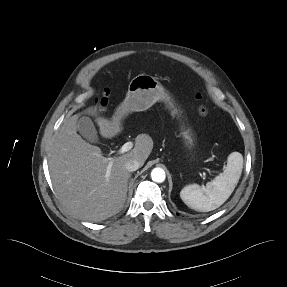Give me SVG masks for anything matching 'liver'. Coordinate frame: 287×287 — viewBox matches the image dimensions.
I'll return each mask as SVG.
<instances>
[{"label":"liver","instance_id":"obj_1","mask_svg":"<svg viewBox=\"0 0 287 287\" xmlns=\"http://www.w3.org/2000/svg\"><path fill=\"white\" fill-rule=\"evenodd\" d=\"M96 116L100 134L112 138L121 132L120 120ZM78 115L65 119L50 148L48 165L52 184L62 204L78 218L100 222L117 214L124 206L129 172L125 162L136 159L144 164L153 149L147 134L135 139L134 148L115 158H105L99 147L87 143L77 134ZM112 163L110 176L106 177Z\"/></svg>","mask_w":287,"mask_h":287}]
</instances>
